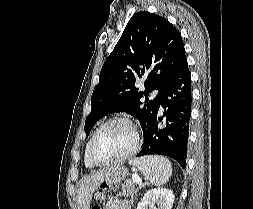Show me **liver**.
<instances>
[{
    "mask_svg": "<svg viewBox=\"0 0 253 209\" xmlns=\"http://www.w3.org/2000/svg\"><path fill=\"white\" fill-rule=\"evenodd\" d=\"M115 170L116 168H106L89 176H85L79 181L76 197L78 209H90L94 191L107 177L111 176Z\"/></svg>",
    "mask_w": 253,
    "mask_h": 209,
    "instance_id": "6515ba94",
    "label": "liver"
}]
</instances>
